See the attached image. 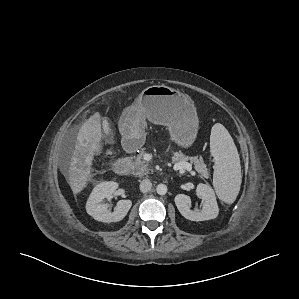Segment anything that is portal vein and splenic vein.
I'll return each mask as SVG.
<instances>
[{"mask_svg":"<svg viewBox=\"0 0 299 299\" xmlns=\"http://www.w3.org/2000/svg\"><path fill=\"white\" fill-rule=\"evenodd\" d=\"M182 169H185L187 171H191L192 166L188 162H180V163H176V164L173 165V170L174 171H178V170H182Z\"/></svg>","mask_w":299,"mask_h":299,"instance_id":"portal-vein-and-splenic-vein-1","label":"portal vein and splenic vein"}]
</instances>
